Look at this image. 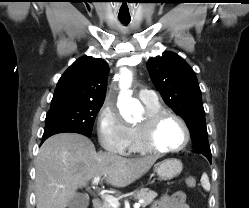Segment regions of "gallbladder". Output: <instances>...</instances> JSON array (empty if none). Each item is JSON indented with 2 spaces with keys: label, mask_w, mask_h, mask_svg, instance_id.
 Here are the masks:
<instances>
[{
  "label": "gallbladder",
  "mask_w": 249,
  "mask_h": 208,
  "mask_svg": "<svg viewBox=\"0 0 249 208\" xmlns=\"http://www.w3.org/2000/svg\"><path fill=\"white\" fill-rule=\"evenodd\" d=\"M89 197L86 194L77 193L68 203V208H87Z\"/></svg>",
  "instance_id": "obj_1"
}]
</instances>
